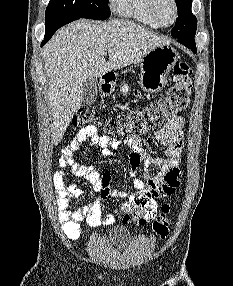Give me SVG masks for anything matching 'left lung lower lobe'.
Here are the masks:
<instances>
[{
    "label": "left lung lower lobe",
    "instance_id": "left-lung-lower-lobe-1",
    "mask_svg": "<svg viewBox=\"0 0 233 286\" xmlns=\"http://www.w3.org/2000/svg\"><path fill=\"white\" fill-rule=\"evenodd\" d=\"M177 41H178L179 43L185 45V46L188 47L189 49H191L194 53L197 52L196 45H195V41H194V37L181 38V39H177Z\"/></svg>",
    "mask_w": 233,
    "mask_h": 286
}]
</instances>
